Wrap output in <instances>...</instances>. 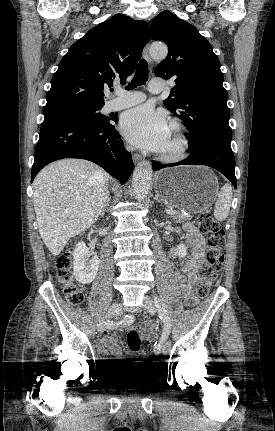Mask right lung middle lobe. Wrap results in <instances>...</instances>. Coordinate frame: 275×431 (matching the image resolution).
<instances>
[{"label": "right lung middle lobe", "instance_id": "obj_1", "mask_svg": "<svg viewBox=\"0 0 275 431\" xmlns=\"http://www.w3.org/2000/svg\"><path fill=\"white\" fill-rule=\"evenodd\" d=\"M104 105L91 107H75L53 112L44 113V119L50 117H74L92 124L106 123L110 118L102 115L99 111Z\"/></svg>", "mask_w": 275, "mask_h": 431}]
</instances>
